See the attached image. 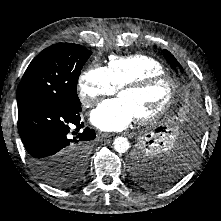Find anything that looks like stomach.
<instances>
[{
    "instance_id": "1",
    "label": "stomach",
    "mask_w": 221,
    "mask_h": 221,
    "mask_svg": "<svg viewBox=\"0 0 221 221\" xmlns=\"http://www.w3.org/2000/svg\"><path fill=\"white\" fill-rule=\"evenodd\" d=\"M176 141L170 138V140L168 141V145H170L171 147H174L176 145Z\"/></svg>"
}]
</instances>
